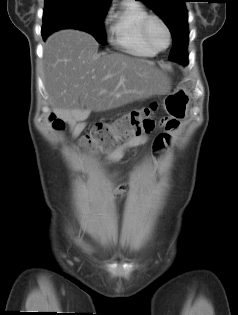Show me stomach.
Segmentation results:
<instances>
[{
  "instance_id": "stomach-1",
  "label": "stomach",
  "mask_w": 238,
  "mask_h": 315,
  "mask_svg": "<svg viewBox=\"0 0 238 315\" xmlns=\"http://www.w3.org/2000/svg\"><path fill=\"white\" fill-rule=\"evenodd\" d=\"M188 105H190V91L188 87H179L177 91L167 94L163 109H166L168 116H172V120L184 122L187 115Z\"/></svg>"
}]
</instances>
